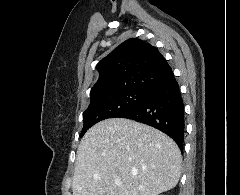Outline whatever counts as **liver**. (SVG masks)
<instances>
[{
  "label": "liver",
  "instance_id": "obj_1",
  "mask_svg": "<svg viewBox=\"0 0 240 195\" xmlns=\"http://www.w3.org/2000/svg\"><path fill=\"white\" fill-rule=\"evenodd\" d=\"M181 161L177 143L159 129L124 117L103 119L80 141L73 195H158L177 185Z\"/></svg>",
  "mask_w": 240,
  "mask_h": 195
}]
</instances>
